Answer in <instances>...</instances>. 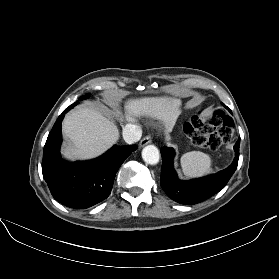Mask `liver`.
Wrapping results in <instances>:
<instances>
[{"label":"liver","instance_id":"6515ba94","mask_svg":"<svg viewBox=\"0 0 279 279\" xmlns=\"http://www.w3.org/2000/svg\"><path fill=\"white\" fill-rule=\"evenodd\" d=\"M179 99L163 97H145L130 100L127 105V120L135 121L136 116H149L160 119L170 131L179 114ZM110 112L103 106L79 108L66 116L62 130L71 141L63 149V156L69 160L91 159L101 155L119 138L115 122Z\"/></svg>","mask_w":279,"mask_h":279}]
</instances>
